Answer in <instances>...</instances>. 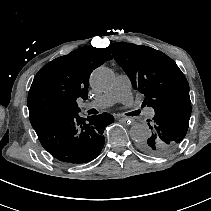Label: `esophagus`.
Listing matches in <instances>:
<instances>
[{
    "instance_id": "esophagus-1",
    "label": "esophagus",
    "mask_w": 211,
    "mask_h": 211,
    "mask_svg": "<svg viewBox=\"0 0 211 211\" xmlns=\"http://www.w3.org/2000/svg\"><path fill=\"white\" fill-rule=\"evenodd\" d=\"M118 121L126 124H131L133 122V119L131 117H121L118 118Z\"/></svg>"
}]
</instances>
